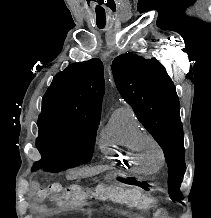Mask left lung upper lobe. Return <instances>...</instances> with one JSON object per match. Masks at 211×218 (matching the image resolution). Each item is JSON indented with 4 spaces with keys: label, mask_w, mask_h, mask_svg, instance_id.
<instances>
[{
    "label": "left lung upper lobe",
    "mask_w": 211,
    "mask_h": 218,
    "mask_svg": "<svg viewBox=\"0 0 211 218\" xmlns=\"http://www.w3.org/2000/svg\"><path fill=\"white\" fill-rule=\"evenodd\" d=\"M112 71L121 96L162 147L169 168L170 198L181 202L185 150L180 104L172 80L155 58L144 59L132 53L116 57Z\"/></svg>",
    "instance_id": "1"
}]
</instances>
